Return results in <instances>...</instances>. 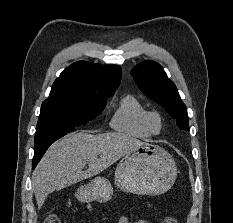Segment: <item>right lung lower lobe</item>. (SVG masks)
<instances>
[{"instance_id":"1","label":"right lung lower lobe","mask_w":233,"mask_h":223,"mask_svg":"<svg viewBox=\"0 0 233 223\" xmlns=\"http://www.w3.org/2000/svg\"><path fill=\"white\" fill-rule=\"evenodd\" d=\"M46 152V151H45ZM45 152H41V153H38V154H34V157H33V169L36 167L37 163L40 161L41 157L43 156V154Z\"/></svg>"}]
</instances>
